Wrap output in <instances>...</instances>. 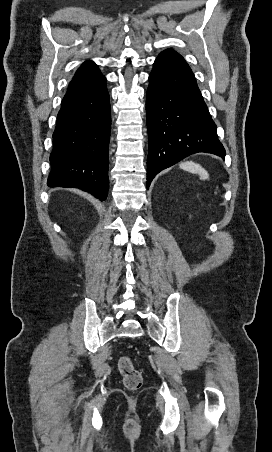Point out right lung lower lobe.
Returning a JSON list of instances; mask_svg holds the SVG:
<instances>
[{
  "mask_svg": "<svg viewBox=\"0 0 272 452\" xmlns=\"http://www.w3.org/2000/svg\"><path fill=\"white\" fill-rule=\"evenodd\" d=\"M111 128L106 78L69 87L53 133L49 187H74L107 198Z\"/></svg>",
  "mask_w": 272,
  "mask_h": 452,
  "instance_id": "98d812e1",
  "label": "right lung lower lobe"
}]
</instances>
